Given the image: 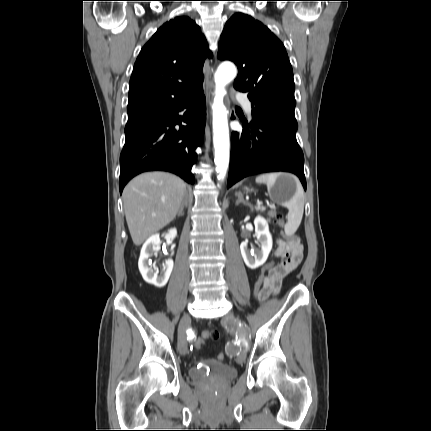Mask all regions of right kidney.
<instances>
[{
  "mask_svg": "<svg viewBox=\"0 0 431 431\" xmlns=\"http://www.w3.org/2000/svg\"><path fill=\"white\" fill-rule=\"evenodd\" d=\"M177 235L176 229L170 230L166 235V239H174ZM160 245L159 234L152 235L143 245L138 261L139 271L143 279L158 288L164 287L173 270V260L168 259L163 265V270L159 274L158 269L152 268L150 257L154 254L157 247Z\"/></svg>",
  "mask_w": 431,
  "mask_h": 431,
  "instance_id": "right-kidney-1",
  "label": "right kidney"
}]
</instances>
